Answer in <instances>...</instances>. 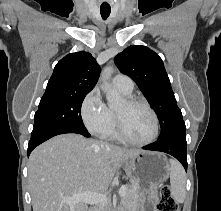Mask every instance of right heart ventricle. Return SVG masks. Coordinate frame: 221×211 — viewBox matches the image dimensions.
I'll return each mask as SVG.
<instances>
[{
	"instance_id": "1",
	"label": "right heart ventricle",
	"mask_w": 221,
	"mask_h": 211,
	"mask_svg": "<svg viewBox=\"0 0 221 211\" xmlns=\"http://www.w3.org/2000/svg\"><path fill=\"white\" fill-rule=\"evenodd\" d=\"M122 93L125 95L130 94V93H125V92H122ZM113 116H114V114H113ZM104 136L108 139H111V140H119L120 139V137L117 134V130H116L115 116H114V124H113L112 128Z\"/></svg>"
}]
</instances>
